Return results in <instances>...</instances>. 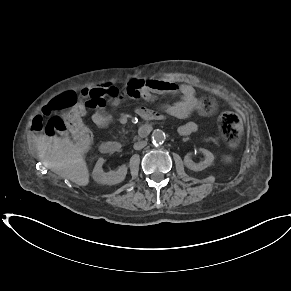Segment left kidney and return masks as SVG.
<instances>
[{
    "mask_svg": "<svg viewBox=\"0 0 291 291\" xmlns=\"http://www.w3.org/2000/svg\"><path fill=\"white\" fill-rule=\"evenodd\" d=\"M200 152H202L205 155V160L200 161L199 163H195L190 158L191 154L188 153L184 158V164L187 168L193 171H202L205 168L209 167L212 162L214 161V155L208 151L207 149L201 148Z\"/></svg>",
    "mask_w": 291,
    "mask_h": 291,
    "instance_id": "left-kidney-1",
    "label": "left kidney"
}]
</instances>
